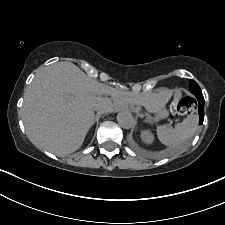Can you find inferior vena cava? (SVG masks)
<instances>
[{"mask_svg":"<svg viewBox=\"0 0 225 225\" xmlns=\"http://www.w3.org/2000/svg\"><path fill=\"white\" fill-rule=\"evenodd\" d=\"M97 110H103L100 106L96 107Z\"/></svg>","mask_w":225,"mask_h":225,"instance_id":"602c4592","label":"inferior vena cava"}]
</instances>
